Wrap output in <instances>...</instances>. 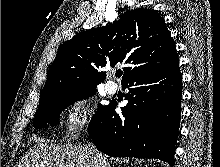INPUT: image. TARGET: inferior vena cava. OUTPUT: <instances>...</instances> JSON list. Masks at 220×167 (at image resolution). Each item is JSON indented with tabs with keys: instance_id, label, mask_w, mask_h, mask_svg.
Listing matches in <instances>:
<instances>
[{
	"instance_id": "obj_1",
	"label": "inferior vena cava",
	"mask_w": 220,
	"mask_h": 167,
	"mask_svg": "<svg viewBox=\"0 0 220 167\" xmlns=\"http://www.w3.org/2000/svg\"><path fill=\"white\" fill-rule=\"evenodd\" d=\"M87 147L92 151L95 167H110L106 158L95 148L92 142H89Z\"/></svg>"
}]
</instances>
